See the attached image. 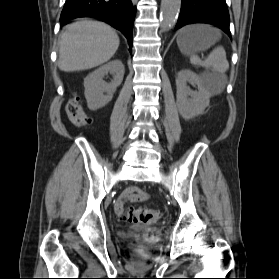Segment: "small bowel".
<instances>
[{"mask_svg": "<svg viewBox=\"0 0 279 279\" xmlns=\"http://www.w3.org/2000/svg\"><path fill=\"white\" fill-rule=\"evenodd\" d=\"M146 197L147 194L143 190L135 187L128 188L117 199L115 203V212L118 215H122L124 211V203L126 201L139 202L145 200Z\"/></svg>", "mask_w": 279, "mask_h": 279, "instance_id": "1", "label": "small bowel"}]
</instances>
